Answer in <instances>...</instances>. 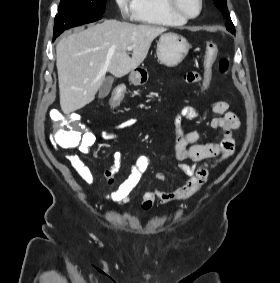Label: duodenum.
I'll list each match as a JSON object with an SVG mask.
<instances>
[{"label":"duodenum","instance_id":"1","mask_svg":"<svg viewBox=\"0 0 280 283\" xmlns=\"http://www.w3.org/2000/svg\"><path fill=\"white\" fill-rule=\"evenodd\" d=\"M135 81H137L138 83H142L144 81V78L141 75H136L134 77Z\"/></svg>","mask_w":280,"mask_h":283}]
</instances>
